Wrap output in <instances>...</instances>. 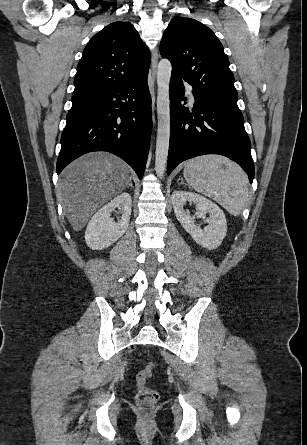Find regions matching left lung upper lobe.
<instances>
[{"mask_svg":"<svg viewBox=\"0 0 307 445\" xmlns=\"http://www.w3.org/2000/svg\"><path fill=\"white\" fill-rule=\"evenodd\" d=\"M162 57L198 94L237 104L238 94L229 60L213 31L191 18L176 16L163 34Z\"/></svg>","mask_w":307,"mask_h":445,"instance_id":"5c2ea615","label":"left lung upper lobe"}]
</instances>
